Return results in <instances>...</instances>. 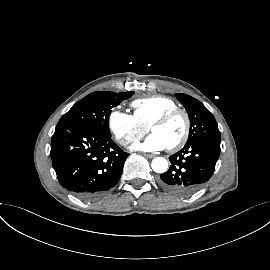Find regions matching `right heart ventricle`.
I'll list each match as a JSON object with an SVG mask.
<instances>
[{"mask_svg": "<svg viewBox=\"0 0 270 270\" xmlns=\"http://www.w3.org/2000/svg\"><path fill=\"white\" fill-rule=\"evenodd\" d=\"M134 115L145 127L168 110L178 108V104L171 98L161 95L136 99L132 102Z\"/></svg>", "mask_w": 270, "mask_h": 270, "instance_id": "e07e8e85", "label": "right heart ventricle"}]
</instances>
